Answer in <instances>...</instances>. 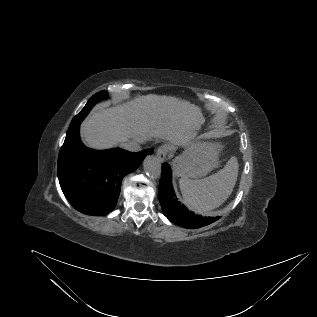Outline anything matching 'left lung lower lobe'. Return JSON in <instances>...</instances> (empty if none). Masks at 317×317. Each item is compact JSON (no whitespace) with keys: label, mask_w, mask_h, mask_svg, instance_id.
<instances>
[{"label":"left lung lower lobe","mask_w":317,"mask_h":317,"mask_svg":"<svg viewBox=\"0 0 317 317\" xmlns=\"http://www.w3.org/2000/svg\"><path fill=\"white\" fill-rule=\"evenodd\" d=\"M159 200L165 216L168 217L171 222L185 228H200L211 224L220 218H207L195 215L178 201L171 184V168L167 163H164L162 166V177L159 185Z\"/></svg>","instance_id":"1"}]
</instances>
